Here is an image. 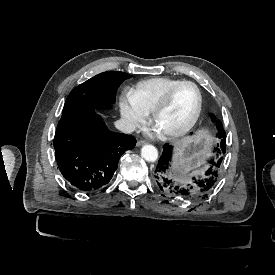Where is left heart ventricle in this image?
<instances>
[{
    "label": "left heart ventricle",
    "instance_id": "obj_1",
    "mask_svg": "<svg viewBox=\"0 0 275 275\" xmlns=\"http://www.w3.org/2000/svg\"><path fill=\"white\" fill-rule=\"evenodd\" d=\"M198 96L191 84L178 86L172 94L168 106L156 117L154 127L162 134L178 130L193 116Z\"/></svg>",
    "mask_w": 275,
    "mask_h": 275
}]
</instances>
